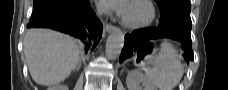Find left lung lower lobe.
I'll return each instance as SVG.
<instances>
[{
  "label": "left lung lower lobe",
  "instance_id": "left-lung-lower-lobe-1",
  "mask_svg": "<svg viewBox=\"0 0 228 90\" xmlns=\"http://www.w3.org/2000/svg\"><path fill=\"white\" fill-rule=\"evenodd\" d=\"M192 23L179 22L169 18H161L158 27L146 28L133 31L125 36V44L119 61L129 58L133 52V47H137L141 42L157 38H170L179 41L184 49V59L189 63L194 60L191 40Z\"/></svg>",
  "mask_w": 228,
  "mask_h": 90
}]
</instances>
